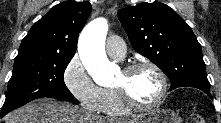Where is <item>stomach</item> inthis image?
<instances>
[{
    "mask_svg": "<svg viewBox=\"0 0 221 123\" xmlns=\"http://www.w3.org/2000/svg\"><path fill=\"white\" fill-rule=\"evenodd\" d=\"M133 123H181V120L170 109H154L137 116Z\"/></svg>",
    "mask_w": 221,
    "mask_h": 123,
    "instance_id": "1",
    "label": "stomach"
}]
</instances>
